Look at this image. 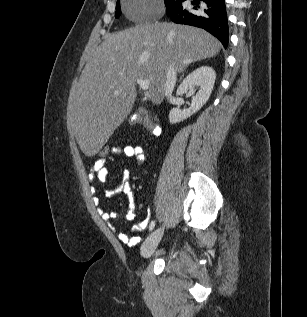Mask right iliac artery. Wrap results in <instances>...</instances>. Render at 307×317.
Wrapping results in <instances>:
<instances>
[{
    "label": "right iliac artery",
    "mask_w": 307,
    "mask_h": 317,
    "mask_svg": "<svg viewBox=\"0 0 307 317\" xmlns=\"http://www.w3.org/2000/svg\"><path fill=\"white\" fill-rule=\"evenodd\" d=\"M155 227V221H152L149 225V230H153V228Z\"/></svg>",
    "instance_id": "obj_1"
}]
</instances>
